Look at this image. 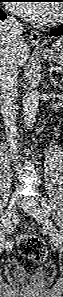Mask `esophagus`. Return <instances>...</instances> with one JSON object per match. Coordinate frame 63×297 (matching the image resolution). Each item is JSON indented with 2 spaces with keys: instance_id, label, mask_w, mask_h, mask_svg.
<instances>
[{
  "instance_id": "esophagus-1",
  "label": "esophagus",
  "mask_w": 63,
  "mask_h": 297,
  "mask_svg": "<svg viewBox=\"0 0 63 297\" xmlns=\"http://www.w3.org/2000/svg\"><path fill=\"white\" fill-rule=\"evenodd\" d=\"M28 40L31 45L38 47L40 42V33L37 30H31Z\"/></svg>"
}]
</instances>
